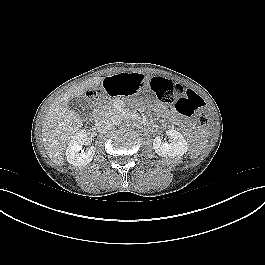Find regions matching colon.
<instances>
[{
  "label": "colon",
  "instance_id": "obj_1",
  "mask_svg": "<svg viewBox=\"0 0 265 265\" xmlns=\"http://www.w3.org/2000/svg\"><path fill=\"white\" fill-rule=\"evenodd\" d=\"M152 89L159 102L174 104L177 111L185 116H194L204 128L211 124L210 112L204 100L192 90H186L180 84L163 77L152 79Z\"/></svg>",
  "mask_w": 265,
  "mask_h": 265
}]
</instances>
